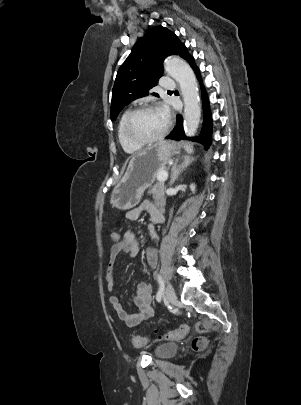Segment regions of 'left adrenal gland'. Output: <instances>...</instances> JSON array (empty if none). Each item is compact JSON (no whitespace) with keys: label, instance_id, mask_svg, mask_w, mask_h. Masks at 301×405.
<instances>
[{"label":"left adrenal gland","instance_id":"left-adrenal-gland-1","mask_svg":"<svg viewBox=\"0 0 301 405\" xmlns=\"http://www.w3.org/2000/svg\"><path fill=\"white\" fill-rule=\"evenodd\" d=\"M193 161H194V158H190L189 156H187V157H184L182 164L177 165V161L174 163V165L172 167L170 185L174 184L175 180L178 178L180 173L183 172Z\"/></svg>","mask_w":301,"mask_h":405}]
</instances>
